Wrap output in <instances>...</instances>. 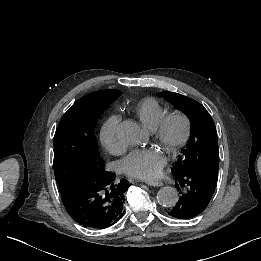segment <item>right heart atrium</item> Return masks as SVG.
I'll return each mask as SVG.
<instances>
[{
  "mask_svg": "<svg viewBox=\"0 0 261 261\" xmlns=\"http://www.w3.org/2000/svg\"><path fill=\"white\" fill-rule=\"evenodd\" d=\"M119 119L115 115L109 116L101 128V143L103 148L110 155H118L124 151L116 140V131Z\"/></svg>",
  "mask_w": 261,
  "mask_h": 261,
  "instance_id": "1",
  "label": "right heart atrium"
}]
</instances>
